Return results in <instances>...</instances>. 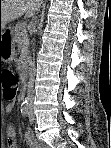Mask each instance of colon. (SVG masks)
Here are the masks:
<instances>
[{
    "label": "colon",
    "instance_id": "5ec220e1",
    "mask_svg": "<svg viewBox=\"0 0 111 148\" xmlns=\"http://www.w3.org/2000/svg\"><path fill=\"white\" fill-rule=\"evenodd\" d=\"M0 85L5 99L14 101L18 95V77L10 70L0 71Z\"/></svg>",
    "mask_w": 111,
    "mask_h": 148
}]
</instances>
